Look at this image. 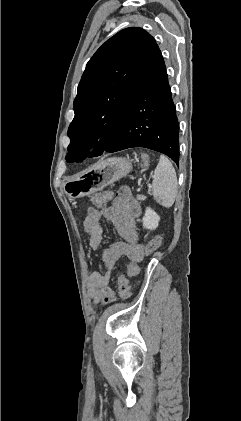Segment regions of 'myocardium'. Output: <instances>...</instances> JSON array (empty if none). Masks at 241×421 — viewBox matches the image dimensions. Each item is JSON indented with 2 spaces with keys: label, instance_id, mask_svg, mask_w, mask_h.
<instances>
[{
  "label": "myocardium",
  "instance_id": "1",
  "mask_svg": "<svg viewBox=\"0 0 241 421\" xmlns=\"http://www.w3.org/2000/svg\"><path fill=\"white\" fill-rule=\"evenodd\" d=\"M97 149H98V144L95 142H92L86 146V151L89 153H93L97 151Z\"/></svg>",
  "mask_w": 241,
  "mask_h": 421
}]
</instances>
